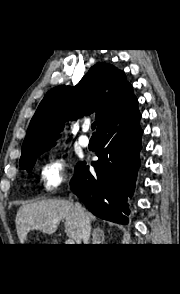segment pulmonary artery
<instances>
[{"label":"pulmonary artery","instance_id":"e3ab8cb5","mask_svg":"<svg viewBox=\"0 0 180 294\" xmlns=\"http://www.w3.org/2000/svg\"><path fill=\"white\" fill-rule=\"evenodd\" d=\"M89 127V124L84 125V131H88ZM79 144L83 147H87L90 144V138L86 135L80 136Z\"/></svg>","mask_w":180,"mask_h":294}]
</instances>
